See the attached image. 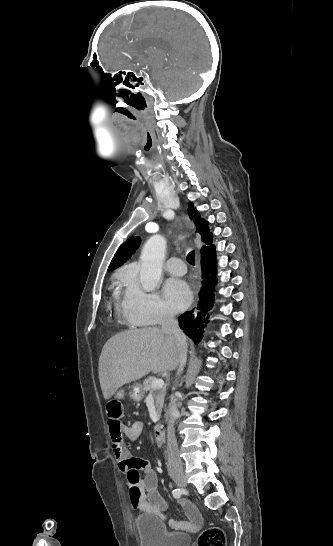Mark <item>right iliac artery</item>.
<instances>
[{"label":"right iliac artery","instance_id":"obj_1","mask_svg":"<svg viewBox=\"0 0 333 546\" xmlns=\"http://www.w3.org/2000/svg\"><path fill=\"white\" fill-rule=\"evenodd\" d=\"M172 494H173V497L179 498V497L182 495V492H181L180 489H174V490L172 491Z\"/></svg>","mask_w":333,"mask_h":546}]
</instances>
